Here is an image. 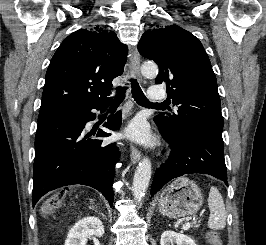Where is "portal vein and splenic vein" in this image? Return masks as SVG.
Segmentation results:
<instances>
[{
	"instance_id": "1",
	"label": "portal vein and splenic vein",
	"mask_w": 266,
	"mask_h": 245,
	"mask_svg": "<svg viewBox=\"0 0 266 245\" xmlns=\"http://www.w3.org/2000/svg\"><path fill=\"white\" fill-rule=\"evenodd\" d=\"M190 227H191V223H186V225H183L182 229H184V231H188Z\"/></svg>"
}]
</instances>
